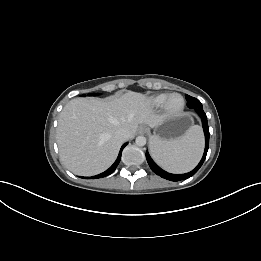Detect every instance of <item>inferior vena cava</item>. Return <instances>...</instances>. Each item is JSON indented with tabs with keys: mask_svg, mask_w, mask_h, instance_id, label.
I'll return each instance as SVG.
<instances>
[{
	"mask_svg": "<svg viewBox=\"0 0 261 261\" xmlns=\"http://www.w3.org/2000/svg\"><path fill=\"white\" fill-rule=\"evenodd\" d=\"M115 137L119 140H125L127 137V132L124 129H119L115 132Z\"/></svg>",
	"mask_w": 261,
	"mask_h": 261,
	"instance_id": "1",
	"label": "inferior vena cava"
}]
</instances>
